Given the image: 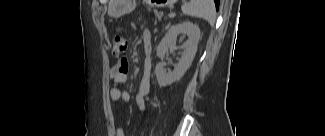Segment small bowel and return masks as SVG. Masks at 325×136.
<instances>
[{
  "instance_id": "c3829d8e",
  "label": "small bowel",
  "mask_w": 325,
  "mask_h": 136,
  "mask_svg": "<svg viewBox=\"0 0 325 136\" xmlns=\"http://www.w3.org/2000/svg\"><path fill=\"white\" fill-rule=\"evenodd\" d=\"M144 42L146 48H149L151 42V33L145 32ZM129 62L126 59L119 60L110 70L109 77L112 81L110 89V98L113 102H129L131 95L127 91H122L119 86L128 80L129 75ZM150 80H151V59L146 55L143 62L142 73L139 79L138 91L135 96L136 106L140 110L146 109V100L150 93ZM117 136H124L122 128H117L115 131Z\"/></svg>"
}]
</instances>
